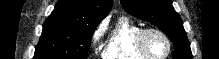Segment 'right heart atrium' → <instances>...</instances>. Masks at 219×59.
<instances>
[{
    "instance_id": "right-heart-atrium-1",
    "label": "right heart atrium",
    "mask_w": 219,
    "mask_h": 59,
    "mask_svg": "<svg viewBox=\"0 0 219 59\" xmlns=\"http://www.w3.org/2000/svg\"><path fill=\"white\" fill-rule=\"evenodd\" d=\"M102 35H103V28L100 26L95 30L92 36V43L97 44L99 40L101 39Z\"/></svg>"
}]
</instances>
